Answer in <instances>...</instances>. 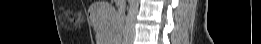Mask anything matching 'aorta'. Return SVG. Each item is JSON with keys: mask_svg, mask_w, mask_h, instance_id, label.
Instances as JSON below:
<instances>
[{"mask_svg": "<svg viewBox=\"0 0 261 44\" xmlns=\"http://www.w3.org/2000/svg\"><path fill=\"white\" fill-rule=\"evenodd\" d=\"M139 9V0H129V9L126 17L125 28L123 33V42L130 43L134 37V26L136 15Z\"/></svg>", "mask_w": 261, "mask_h": 44, "instance_id": "aorta-1", "label": "aorta"}]
</instances>
